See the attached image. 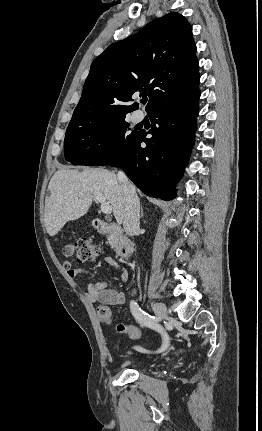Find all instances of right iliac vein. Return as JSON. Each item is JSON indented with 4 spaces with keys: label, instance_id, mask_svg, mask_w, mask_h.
I'll return each mask as SVG.
<instances>
[{
    "label": "right iliac vein",
    "instance_id": "right-iliac-vein-1",
    "mask_svg": "<svg viewBox=\"0 0 262 431\" xmlns=\"http://www.w3.org/2000/svg\"><path fill=\"white\" fill-rule=\"evenodd\" d=\"M153 310L155 312V314L160 317L161 319L165 320L168 317V311H167V307L165 306V304L161 303V302H155L153 304Z\"/></svg>",
    "mask_w": 262,
    "mask_h": 431
}]
</instances>
